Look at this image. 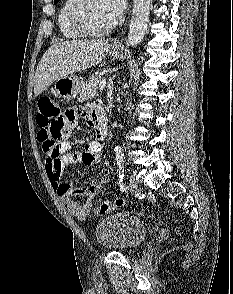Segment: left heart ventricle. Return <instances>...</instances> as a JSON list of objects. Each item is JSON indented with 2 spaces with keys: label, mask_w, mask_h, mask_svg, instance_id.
<instances>
[{
  "label": "left heart ventricle",
  "mask_w": 233,
  "mask_h": 294,
  "mask_svg": "<svg viewBox=\"0 0 233 294\" xmlns=\"http://www.w3.org/2000/svg\"><path fill=\"white\" fill-rule=\"evenodd\" d=\"M85 17L88 25L95 30L103 29L117 19L106 0H91L86 7Z\"/></svg>",
  "instance_id": "b2bd125f"
}]
</instances>
